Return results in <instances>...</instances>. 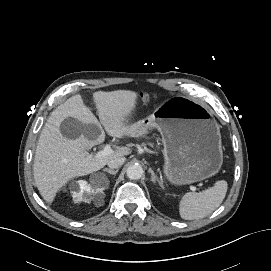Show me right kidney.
<instances>
[{
  "label": "right kidney",
  "instance_id": "1",
  "mask_svg": "<svg viewBox=\"0 0 271 271\" xmlns=\"http://www.w3.org/2000/svg\"><path fill=\"white\" fill-rule=\"evenodd\" d=\"M71 193L75 202H90L97 195L103 193L104 187L96 183H88L85 180H79L71 183ZM86 193V195H84Z\"/></svg>",
  "mask_w": 271,
  "mask_h": 271
}]
</instances>
